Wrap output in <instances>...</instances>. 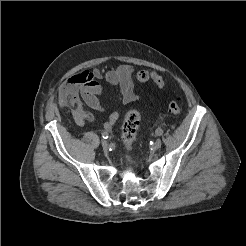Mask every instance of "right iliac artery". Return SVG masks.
Returning a JSON list of instances; mask_svg holds the SVG:
<instances>
[{
	"mask_svg": "<svg viewBox=\"0 0 246 246\" xmlns=\"http://www.w3.org/2000/svg\"><path fill=\"white\" fill-rule=\"evenodd\" d=\"M108 133L106 132V131H104L103 133H102V137L104 138V139H107L108 138Z\"/></svg>",
	"mask_w": 246,
	"mask_h": 246,
	"instance_id": "obj_1",
	"label": "right iliac artery"
}]
</instances>
